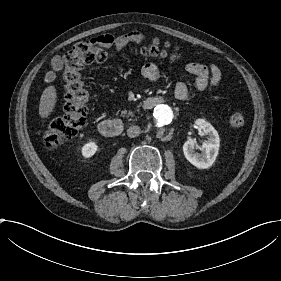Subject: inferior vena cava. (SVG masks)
<instances>
[{"label": "inferior vena cava", "mask_w": 281, "mask_h": 281, "mask_svg": "<svg viewBox=\"0 0 281 281\" xmlns=\"http://www.w3.org/2000/svg\"><path fill=\"white\" fill-rule=\"evenodd\" d=\"M140 132H141L140 127L137 126V125L130 126L127 129V135L130 138H134V137L139 136Z\"/></svg>", "instance_id": "602c4592"}]
</instances>
